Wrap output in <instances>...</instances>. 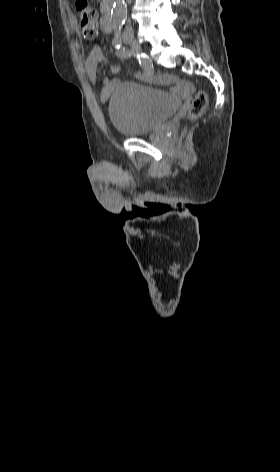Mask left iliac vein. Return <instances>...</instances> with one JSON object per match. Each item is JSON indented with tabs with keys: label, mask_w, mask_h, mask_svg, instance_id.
<instances>
[{
	"label": "left iliac vein",
	"mask_w": 280,
	"mask_h": 472,
	"mask_svg": "<svg viewBox=\"0 0 280 472\" xmlns=\"http://www.w3.org/2000/svg\"><path fill=\"white\" fill-rule=\"evenodd\" d=\"M123 40H124L126 43L129 42V36H128V34H125V35L123 36Z\"/></svg>",
	"instance_id": "obj_1"
}]
</instances>
